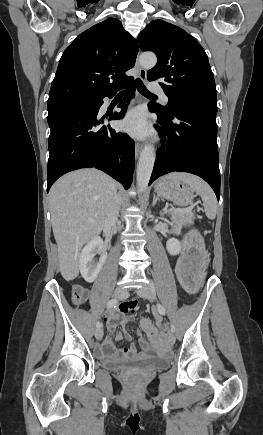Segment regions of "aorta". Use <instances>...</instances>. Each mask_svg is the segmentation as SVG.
<instances>
[{
  "label": "aorta",
  "mask_w": 263,
  "mask_h": 435,
  "mask_svg": "<svg viewBox=\"0 0 263 435\" xmlns=\"http://www.w3.org/2000/svg\"><path fill=\"white\" fill-rule=\"evenodd\" d=\"M157 58L152 53H145L140 56V63L145 68H152L155 66ZM155 149L154 146L148 144L144 147L140 154L137 166V187L140 193H144L148 188V183L151 177L155 162Z\"/></svg>",
  "instance_id": "aorta-1"
}]
</instances>
